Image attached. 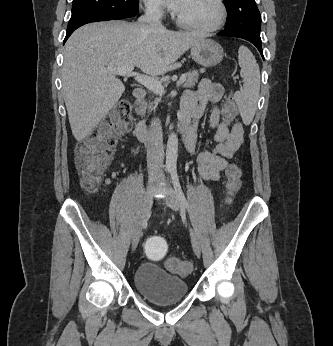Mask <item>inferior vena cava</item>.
Instances as JSON below:
<instances>
[{
  "instance_id": "1",
  "label": "inferior vena cava",
  "mask_w": 333,
  "mask_h": 346,
  "mask_svg": "<svg viewBox=\"0 0 333 346\" xmlns=\"http://www.w3.org/2000/svg\"><path fill=\"white\" fill-rule=\"evenodd\" d=\"M161 18L162 12L157 5H154L147 8L145 15L141 16L138 21L152 28L162 29ZM147 141L148 174L149 178H154L161 174L164 159L162 127L158 118L151 121Z\"/></svg>"
}]
</instances>
